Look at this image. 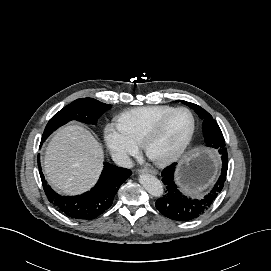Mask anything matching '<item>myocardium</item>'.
Returning a JSON list of instances; mask_svg holds the SVG:
<instances>
[{
	"instance_id": "1",
	"label": "myocardium",
	"mask_w": 271,
	"mask_h": 271,
	"mask_svg": "<svg viewBox=\"0 0 271 271\" xmlns=\"http://www.w3.org/2000/svg\"><path fill=\"white\" fill-rule=\"evenodd\" d=\"M185 111L187 112L192 120L191 131L185 140V142L176 150L166 155L155 156L150 153V146L155 141V139L159 136L162 129L166 125L167 121L177 112ZM196 132V118L194 113L186 107H177L172 109L166 115H164L159 121H157L154 126L144 135L140 145L143 152L156 164L158 165H169L177 161L180 157H182L185 152L189 149L194 139V135Z\"/></svg>"
}]
</instances>
